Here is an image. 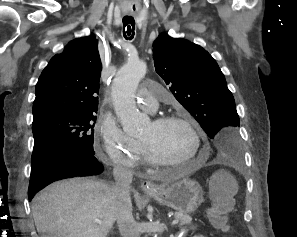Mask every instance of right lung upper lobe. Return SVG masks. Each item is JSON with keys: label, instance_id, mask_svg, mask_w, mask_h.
<instances>
[{"label": "right lung upper lobe", "instance_id": "cb5924a9", "mask_svg": "<svg viewBox=\"0 0 297 237\" xmlns=\"http://www.w3.org/2000/svg\"><path fill=\"white\" fill-rule=\"evenodd\" d=\"M101 69L94 37L69 43L61 54L52 57L38 79L33 122L55 113L97 112Z\"/></svg>", "mask_w": 297, "mask_h": 237}]
</instances>
